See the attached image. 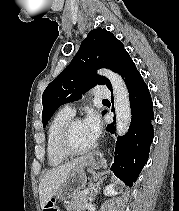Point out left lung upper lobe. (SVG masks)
Returning a JSON list of instances; mask_svg holds the SVG:
<instances>
[{
	"mask_svg": "<svg viewBox=\"0 0 179 211\" xmlns=\"http://www.w3.org/2000/svg\"><path fill=\"white\" fill-rule=\"evenodd\" d=\"M127 55L122 42L113 33L102 28L90 31L71 63L43 93V126H46L57 108L80 99L81 94L93 86L105 84L110 88V81L97 75L96 70L106 67L118 72Z\"/></svg>",
	"mask_w": 179,
	"mask_h": 211,
	"instance_id": "obj_1",
	"label": "left lung upper lobe"
}]
</instances>
